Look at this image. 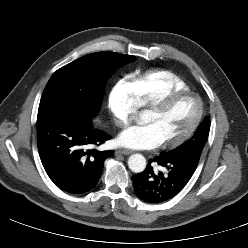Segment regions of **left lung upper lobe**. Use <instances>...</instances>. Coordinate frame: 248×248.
I'll return each instance as SVG.
<instances>
[{
    "label": "left lung upper lobe",
    "mask_w": 248,
    "mask_h": 248,
    "mask_svg": "<svg viewBox=\"0 0 248 248\" xmlns=\"http://www.w3.org/2000/svg\"><path fill=\"white\" fill-rule=\"evenodd\" d=\"M210 131V118L207 117L202 124L198 127L195 134L186 142L177 148L167 152L168 156L186 157L194 156L200 158L207 137Z\"/></svg>",
    "instance_id": "left-lung-upper-lobe-1"
}]
</instances>
